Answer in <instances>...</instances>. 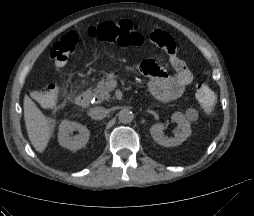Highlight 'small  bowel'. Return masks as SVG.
Here are the masks:
<instances>
[{"label":"small bowel","mask_w":254,"mask_h":216,"mask_svg":"<svg viewBox=\"0 0 254 216\" xmlns=\"http://www.w3.org/2000/svg\"><path fill=\"white\" fill-rule=\"evenodd\" d=\"M148 43L152 48L163 52L165 60L175 71V74H169L152 60L137 62L135 67L148 75V88L154 97L166 102L178 99L192 83L193 75L190 69L176 52L175 41L168 31H152Z\"/></svg>","instance_id":"c3829d8e"}]
</instances>
